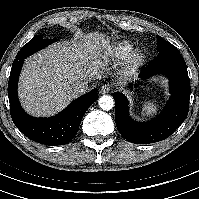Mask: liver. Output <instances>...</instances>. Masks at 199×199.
<instances>
[{"instance_id":"1","label":"liver","mask_w":199,"mask_h":199,"mask_svg":"<svg viewBox=\"0 0 199 199\" xmlns=\"http://www.w3.org/2000/svg\"><path fill=\"white\" fill-rule=\"evenodd\" d=\"M110 41L105 34H80L54 44L25 60L18 84L25 111L33 116L53 115L77 94L74 85L101 76L109 62Z\"/></svg>"}]
</instances>
